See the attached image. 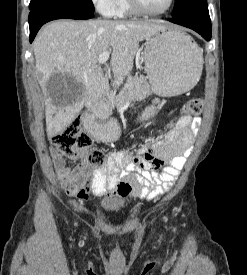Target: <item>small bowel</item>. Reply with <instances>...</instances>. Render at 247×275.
I'll return each mask as SVG.
<instances>
[{
    "instance_id": "c3829d8e",
    "label": "small bowel",
    "mask_w": 247,
    "mask_h": 275,
    "mask_svg": "<svg viewBox=\"0 0 247 275\" xmlns=\"http://www.w3.org/2000/svg\"><path fill=\"white\" fill-rule=\"evenodd\" d=\"M89 127L90 118H86ZM200 117L182 116L165 140L148 143L131 157L121 150L108 154L106 165L90 170L84 159L72 166L66 164L64 153L51 149L54 170L63 191L80 200L91 195L101 198H125L151 201L168 192L190 155ZM120 183L130 186L125 195L118 193Z\"/></svg>"
}]
</instances>
